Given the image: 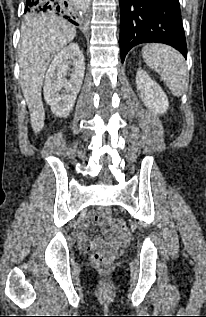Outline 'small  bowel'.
I'll return each mask as SVG.
<instances>
[{
	"label": "small bowel",
	"instance_id": "c3829d8e",
	"mask_svg": "<svg viewBox=\"0 0 206 317\" xmlns=\"http://www.w3.org/2000/svg\"><path fill=\"white\" fill-rule=\"evenodd\" d=\"M89 219L93 220V221H97V220H99V216H98V214L96 212L92 211V212L89 213ZM86 229H87V225L86 224L81 225V226H79L77 228L78 238H79L80 242L83 245L87 244L90 241L89 236L86 233ZM106 236L110 240H114L116 235H115V232L113 230H108L106 232ZM127 237H128V230L125 227V225L123 224L122 226L117 227V238H118V240L124 242V241L127 240Z\"/></svg>",
	"mask_w": 206,
	"mask_h": 317
}]
</instances>
